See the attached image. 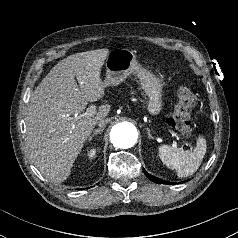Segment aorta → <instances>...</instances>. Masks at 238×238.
I'll list each match as a JSON object with an SVG mask.
<instances>
[{
  "mask_svg": "<svg viewBox=\"0 0 238 238\" xmlns=\"http://www.w3.org/2000/svg\"><path fill=\"white\" fill-rule=\"evenodd\" d=\"M138 139V132L130 123H119L113 126L110 133V140L115 147L126 149L135 145Z\"/></svg>",
  "mask_w": 238,
  "mask_h": 238,
  "instance_id": "obj_1",
  "label": "aorta"
}]
</instances>
